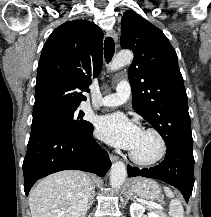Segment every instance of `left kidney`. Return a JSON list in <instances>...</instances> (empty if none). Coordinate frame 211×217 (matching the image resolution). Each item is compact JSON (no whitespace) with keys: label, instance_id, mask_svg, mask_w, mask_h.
Instances as JSON below:
<instances>
[{"label":"left kidney","instance_id":"left-kidney-1","mask_svg":"<svg viewBox=\"0 0 211 217\" xmlns=\"http://www.w3.org/2000/svg\"><path fill=\"white\" fill-rule=\"evenodd\" d=\"M145 212V208L138 203H132L130 205V214L131 217H159L157 214L155 213H148V216L144 215Z\"/></svg>","mask_w":211,"mask_h":217}]
</instances>
